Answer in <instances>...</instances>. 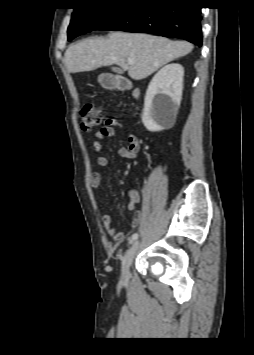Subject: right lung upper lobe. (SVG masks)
Wrapping results in <instances>:
<instances>
[{
  "instance_id": "right-lung-upper-lobe-1",
  "label": "right lung upper lobe",
  "mask_w": 254,
  "mask_h": 355,
  "mask_svg": "<svg viewBox=\"0 0 254 355\" xmlns=\"http://www.w3.org/2000/svg\"><path fill=\"white\" fill-rule=\"evenodd\" d=\"M90 1H93V0H89V2ZM117 1H120V2H125V3H127V2H130V1H132V0H117Z\"/></svg>"
}]
</instances>
